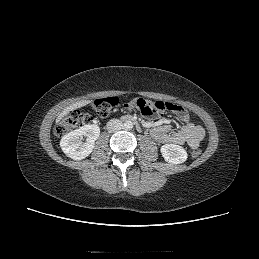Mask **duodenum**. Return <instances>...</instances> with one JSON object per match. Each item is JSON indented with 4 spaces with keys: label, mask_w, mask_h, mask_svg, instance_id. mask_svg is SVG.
Wrapping results in <instances>:
<instances>
[{
    "label": "duodenum",
    "mask_w": 259,
    "mask_h": 259,
    "mask_svg": "<svg viewBox=\"0 0 259 259\" xmlns=\"http://www.w3.org/2000/svg\"><path fill=\"white\" fill-rule=\"evenodd\" d=\"M122 120L136 122V120L130 115L123 116Z\"/></svg>",
    "instance_id": "obj_1"
}]
</instances>
